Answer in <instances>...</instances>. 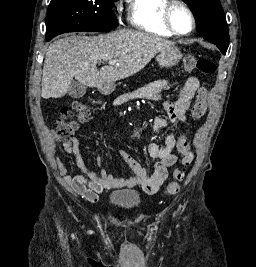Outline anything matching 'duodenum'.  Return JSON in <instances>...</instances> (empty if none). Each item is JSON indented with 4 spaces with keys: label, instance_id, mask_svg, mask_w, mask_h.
<instances>
[{
    "label": "duodenum",
    "instance_id": "1",
    "mask_svg": "<svg viewBox=\"0 0 256 267\" xmlns=\"http://www.w3.org/2000/svg\"><path fill=\"white\" fill-rule=\"evenodd\" d=\"M116 82V78H107L106 81H102V85H97V94H115L113 86Z\"/></svg>",
    "mask_w": 256,
    "mask_h": 267
}]
</instances>
